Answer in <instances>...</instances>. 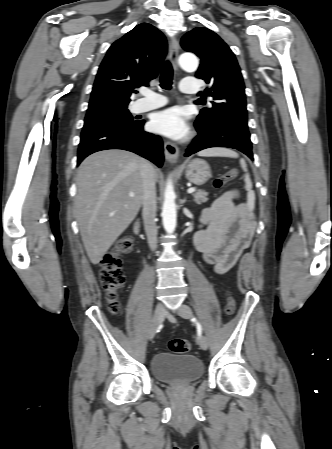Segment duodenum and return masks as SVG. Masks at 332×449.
Returning <instances> with one entry per match:
<instances>
[{
	"label": "duodenum",
	"mask_w": 332,
	"mask_h": 449,
	"mask_svg": "<svg viewBox=\"0 0 332 449\" xmlns=\"http://www.w3.org/2000/svg\"><path fill=\"white\" fill-rule=\"evenodd\" d=\"M141 228H142V222L140 219H138L135 223H134V232L135 234H140L141 233Z\"/></svg>",
	"instance_id": "obj_1"
}]
</instances>
